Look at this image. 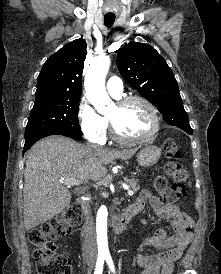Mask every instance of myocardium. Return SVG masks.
<instances>
[{
	"instance_id": "obj_1",
	"label": "myocardium",
	"mask_w": 221,
	"mask_h": 274,
	"mask_svg": "<svg viewBox=\"0 0 221 274\" xmlns=\"http://www.w3.org/2000/svg\"><path fill=\"white\" fill-rule=\"evenodd\" d=\"M133 102H140L147 107V109L150 112L152 125L149 132L146 135L139 138H127L119 134L111 118L107 117L112 138L116 142L121 144L137 145V144H144L146 142H149L156 135L160 127V118H159L158 110L154 106V104L151 101H149L147 98L140 95H130V96H126L119 99L116 102V105L122 108Z\"/></svg>"
}]
</instances>
